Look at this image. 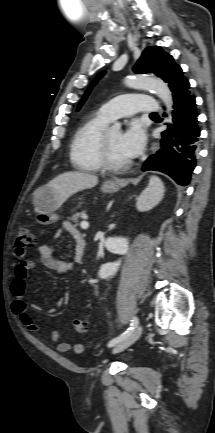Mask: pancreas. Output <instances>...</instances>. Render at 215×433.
<instances>
[{
  "instance_id": "1",
  "label": "pancreas",
  "mask_w": 215,
  "mask_h": 433,
  "mask_svg": "<svg viewBox=\"0 0 215 433\" xmlns=\"http://www.w3.org/2000/svg\"><path fill=\"white\" fill-rule=\"evenodd\" d=\"M80 217H81V213H75L71 217H69V220H71L77 225Z\"/></svg>"
}]
</instances>
